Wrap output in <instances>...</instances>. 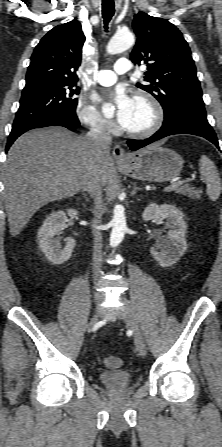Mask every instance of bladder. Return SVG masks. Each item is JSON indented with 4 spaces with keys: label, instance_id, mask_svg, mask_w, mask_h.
Returning a JSON list of instances; mask_svg holds the SVG:
<instances>
[{
    "label": "bladder",
    "instance_id": "31cf9c89",
    "mask_svg": "<svg viewBox=\"0 0 222 447\" xmlns=\"http://www.w3.org/2000/svg\"><path fill=\"white\" fill-rule=\"evenodd\" d=\"M132 379V374L125 370H112L99 374V380L102 385L114 391L128 388Z\"/></svg>",
    "mask_w": 222,
    "mask_h": 447
}]
</instances>
